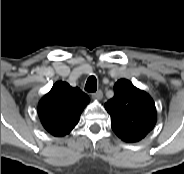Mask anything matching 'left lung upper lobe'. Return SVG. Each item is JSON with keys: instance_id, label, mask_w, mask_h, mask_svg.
Masks as SVG:
<instances>
[{"instance_id": "obj_1", "label": "left lung upper lobe", "mask_w": 184, "mask_h": 174, "mask_svg": "<svg viewBox=\"0 0 184 174\" xmlns=\"http://www.w3.org/2000/svg\"><path fill=\"white\" fill-rule=\"evenodd\" d=\"M105 108L113 131L123 141L141 140L157 121L153 99L127 79L115 83L114 97L105 103Z\"/></svg>"}]
</instances>
